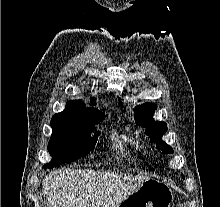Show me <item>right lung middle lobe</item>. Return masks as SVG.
Returning a JSON list of instances; mask_svg holds the SVG:
<instances>
[{"label":"right lung middle lobe","mask_w":220,"mask_h":207,"mask_svg":"<svg viewBox=\"0 0 220 207\" xmlns=\"http://www.w3.org/2000/svg\"><path fill=\"white\" fill-rule=\"evenodd\" d=\"M98 120L82 113L71 104L63 112L56 113L51 119L52 135L48 143V151L52 160L45 164L46 168L57 167L62 163L75 161L88 154L96 145L99 131L93 137Z\"/></svg>","instance_id":"obj_1"}]
</instances>
